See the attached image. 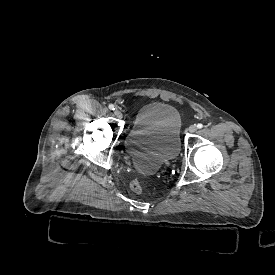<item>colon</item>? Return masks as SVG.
Returning <instances> with one entry per match:
<instances>
[{
    "instance_id": "1",
    "label": "colon",
    "mask_w": 275,
    "mask_h": 275,
    "mask_svg": "<svg viewBox=\"0 0 275 275\" xmlns=\"http://www.w3.org/2000/svg\"><path fill=\"white\" fill-rule=\"evenodd\" d=\"M143 182L140 179H134L130 183V189L134 193H141L143 191Z\"/></svg>"
}]
</instances>
